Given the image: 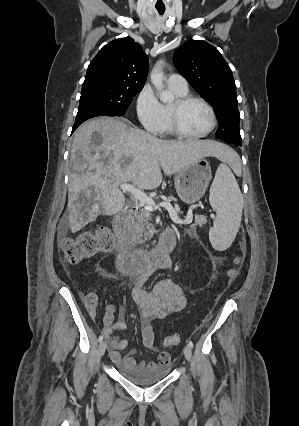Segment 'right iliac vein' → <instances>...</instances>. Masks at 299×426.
Masks as SVG:
<instances>
[{
  "instance_id": "63e3f726",
  "label": "right iliac vein",
  "mask_w": 299,
  "mask_h": 426,
  "mask_svg": "<svg viewBox=\"0 0 299 426\" xmlns=\"http://www.w3.org/2000/svg\"><path fill=\"white\" fill-rule=\"evenodd\" d=\"M106 350V343L105 342H101L99 345V355L103 356Z\"/></svg>"
}]
</instances>
